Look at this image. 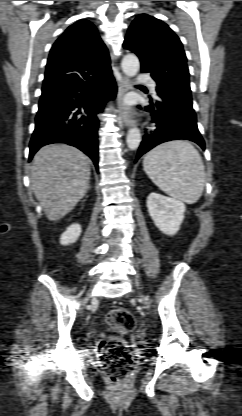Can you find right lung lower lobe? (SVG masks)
I'll return each mask as SVG.
<instances>
[{
    "label": "right lung lower lobe",
    "mask_w": 242,
    "mask_h": 416,
    "mask_svg": "<svg viewBox=\"0 0 242 416\" xmlns=\"http://www.w3.org/2000/svg\"><path fill=\"white\" fill-rule=\"evenodd\" d=\"M117 87L111 70L97 77L42 91L29 160L44 145L64 142L87 154L98 169V115Z\"/></svg>",
    "instance_id": "right-lung-lower-lobe-1"
}]
</instances>
